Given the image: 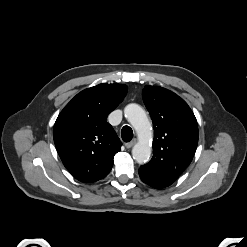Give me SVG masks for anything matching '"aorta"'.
<instances>
[{"label":"aorta","instance_id":"obj_1","mask_svg":"<svg viewBox=\"0 0 247 247\" xmlns=\"http://www.w3.org/2000/svg\"><path fill=\"white\" fill-rule=\"evenodd\" d=\"M124 115L134 127L139 139L132 149V156L137 163H146L151 156L149 141L152 139L153 134L152 125L145 110L138 104H128L124 109Z\"/></svg>","mask_w":247,"mask_h":247}]
</instances>
